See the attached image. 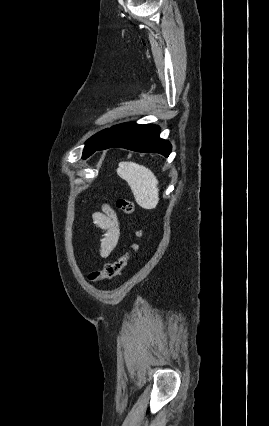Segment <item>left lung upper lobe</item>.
<instances>
[{
    "label": "left lung upper lobe",
    "mask_w": 269,
    "mask_h": 426,
    "mask_svg": "<svg viewBox=\"0 0 269 426\" xmlns=\"http://www.w3.org/2000/svg\"><path fill=\"white\" fill-rule=\"evenodd\" d=\"M109 129H105L92 136L85 144L82 158L85 159L90 156L93 149H95L105 138Z\"/></svg>",
    "instance_id": "5c2ea615"
}]
</instances>
